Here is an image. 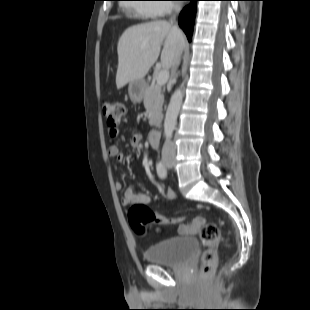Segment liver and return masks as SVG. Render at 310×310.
I'll use <instances>...</instances> for the list:
<instances>
[{
	"label": "liver",
	"mask_w": 310,
	"mask_h": 310,
	"mask_svg": "<svg viewBox=\"0 0 310 310\" xmlns=\"http://www.w3.org/2000/svg\"><path fill=\"white\" fill-rule=\"evenodd\" d=\"M184 45L183 33L167 21H153L127 28L117 46V88L131 81L143 80L157 61L160 51L162 67L170 69Z\"/></svg>",
	"instance_id": "1"
}]
</instances>
